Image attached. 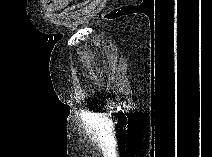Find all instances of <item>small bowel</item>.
Here are the masks:
<instances>
[{
	"label": "small bowel",
	"instance_id": "c3829d8e",
	"mask_svg": "<svg viewBox=\"0 0 212 157\" xmlns=\"http://www.w3.org/2000/svg\"><path fill=\"white\" fill-rule=\"evenodd\" d=\"M63 5V1H53L50 6L53 8H60Z\"/></svg>",
	"mask_w": 212,
	"mask_h": 157
}]
</instances>
